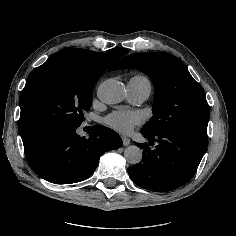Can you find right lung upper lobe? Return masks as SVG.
I'll return each instance as SVG.
<instances>
[{"label":"right lung upper lobe","mask_w":236,"mask_h":236,"mask_svg":"<svg viewBox=\"0 0 236 236\" xmlns=\"http://www.w3.org/2000/svg\"><path fill=\"white\" fill-rule=\"evenodd\" d=\"M128 52V50L114 49L106 53H96L91 50L70 48L60 50L55 54H70L78 61L88 65L93 69L105 71V69L113 64L117 59L124 56Z\"/></svg>","instance_id":"right-lung-upper-lobe-1"}]
</instances>
